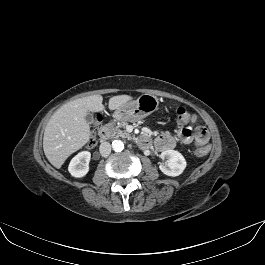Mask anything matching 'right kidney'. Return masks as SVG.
Listing matches in <instances>:
<instances>
[{
	"mask_svg": "<svg viewBox=\"0 0 265 265\" xmlns=\"http://www.w3.org/2000/svg\"><path fill=\"white\" fill-rule=\"evenodd\" d=\"M91 153L83 151L72 158L68 166L69 173L76 178L84 177L89 171Z\"/></svg>",
	"mask_w": 265,
	"mask_h": 265,
	"instance_id": "1",
	"label": "right kidney"
}]
</instances>
